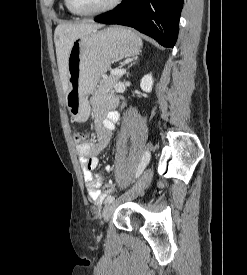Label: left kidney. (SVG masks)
Segmentation results:
<instances>
[{
	"label": "left kidney",
	"mask_w": 247,
	"mask_h": 275,
	"mask_svg": "<svg viewBox=\"0 0 247 275\" xmlns=\"http://www.w3.org/2000/svg\"><path fill=\"white\" fill-rule=\"evenodd\" d=\"M153 83L154 80L152 74H147L142 78L140 87L144 92L150 93L152 91Z\"/></svg>",
	"instance_id": "1"
}]
</instances>
